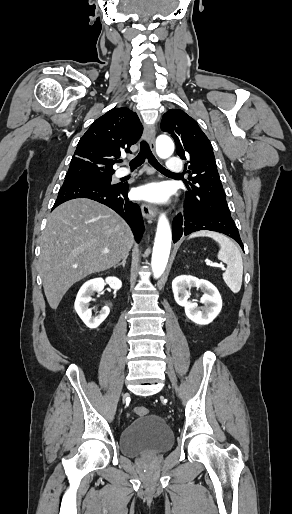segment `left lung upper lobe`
Wrapping results in <instances>:
<instances>
[{
	"instance_id": "1",
	"label": "left lung upper lobe",
	"mask_w": 292,
	"mask_h": 514,
	"mask_svg": "<svg viewBox=\"0 0 292 514\" xmlns=\"http://www.w3.org/2000/svg\"><path fill=\"white\" fill-rule=\"evenodd\" d=\"M161 130L171 134L177 154L187 161L185 169H189V181H186V196L228 211L212 145L198 123L183 110L172 109L163 115Z\"/></svg>"
}]
</instances>
